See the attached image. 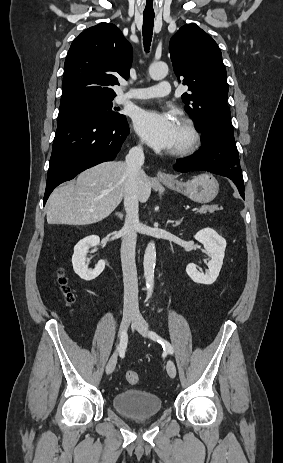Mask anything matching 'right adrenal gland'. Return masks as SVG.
I'll return each mask as SVG.
<instances>
[{
    "label": "right adrenal gland",
    "mask_w": 283,
    "mask_h": 463,
    "mask_svg": "<svg viewBox=\"0 0 283 463\" xmlns=\"http://www.w3.org/2000/svg\"><path fill=\"white\" fill-rule=\"evenodd\" d=\"M116 215H117L121 220H122L123 217H124L123 213H121V212H117Z\"/></svg>",
    "instance_id": "1"
}]
</instances>
